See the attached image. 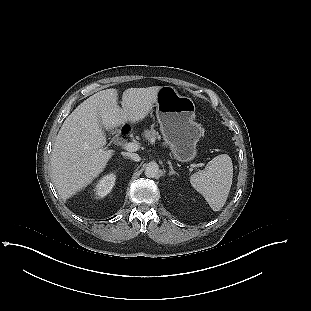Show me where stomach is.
<instances>
[{
  "label": "stomach",
  "instance_id": "stomach-1",
  "mask_svg": "<svg viewBox=\"0 0 311 311\" xmlns=\"http://www.w3.org/2000/svg\"><path fill=\"white\" fill-rule=\"evenodd\" d=\"M154 104L160 131L173 156L181 162L193 160L202 135L201 125L194 121V101L166 86L161 87Z\"/></svg>",
  "mask_w": 311,
  "mask_h": 311
}]
</instances>
